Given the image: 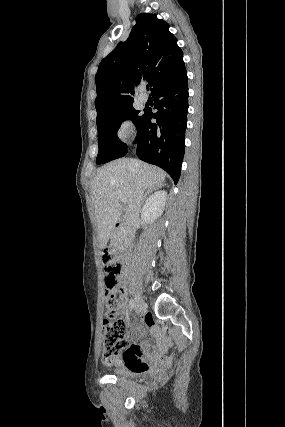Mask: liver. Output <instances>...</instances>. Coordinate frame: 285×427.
<instances>
[{
  "label": "liver",
  "instance_id": "obj_1",
  "mask_svg": "<svg viewBox=\"0 0 285 427\" xmlns=\"http://www.w3.org/2000/svg\"><path fill=\"white\" fill-rule=\"evenodd\" d=\"M165 177L166 173L160 168L129 158L113 161L97 171L91 193L101 249L106 247L122 214L117 193H122L128 204L139 185L148 191L163 186Z\"/></svg>",
  "mask_w": 285,
  "mask_h": 427
}]
</instances>
